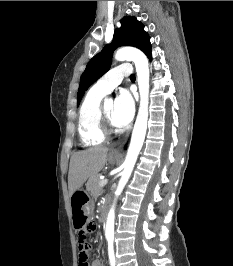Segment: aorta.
I'll return each instance as SVG.
<instances>
[{
  "mask_svg": "<svg viewBox=\"0 0 233 266\" xmlns=\"http://www.w3.org/2000/svg\"><path fill=\"white\" fill-rule=\"evenodd\" d=\"M117 61H133L137 72V81L140 93V105L133 128L130 145L124 161V169L121 173L117 189L116 198L122 193L127 181L129 180L136 163L139 152L144 143L147 121H148V104H149V63L146 55L137 48L126 47L119 49L114 56ZM115 209L111 207L106 222L105 236L107 239L114 236Z\"/></svg>",
  "mask_w": 233,
  "mask_h": 266,
  "instance_id": "obj_1",
  "label": "aorta"
}]
</instances>
